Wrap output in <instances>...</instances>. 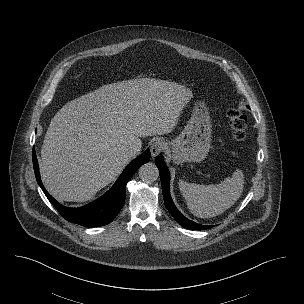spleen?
<instances>
[{"instance_id": "1", "label": "spleen", "mask_w": 304, "mask_h": 304, "mask_svg": "<svg viewBox=\"0 0 304 304\" xmlns=\"http://www.w3.org/2000/svg\"><path fill=\"white\" fill-rule=\"evenodd\" d=\"M244 176L236 170L217 185L180 182V190L191 213L200 218L214 217L230 208L241 196Z\"/></svg>"}]
</instances>
